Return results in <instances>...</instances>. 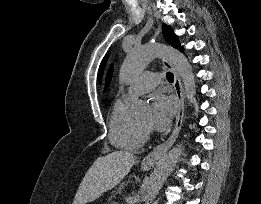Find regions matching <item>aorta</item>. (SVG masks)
<instances>
[{"instance_id":"aorta-1","label":"aorta","mask_w":261,"mask_h":204,"mask_svg":"<svg viewBox=\"0 0 261 204\" xmlns=\"http://www.w3.org/2000/svg\"><path fill=\"white\" fill-rule=\"evenodd\" d=\"M157 57H165L175 67L182 79L188 98L192 102L196 93L195 75L184 54L172 47L149 43L130 50L121 67V79L126 82L132 81ZM148 108L146 101L138 99L133 102L131 113L134 117H141L146 114ZM182 149V144H179L159 160L146 186L145 204H150L155 199L164 182L173 171Z\"/></svg>"}]
</instances>
